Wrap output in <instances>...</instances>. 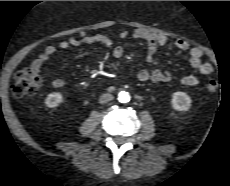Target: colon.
<instances>
[{
    "label": "colon",
    "mask_w": 230,
    "mask_h": 186,
    "mask_svg": "<svg viewBox=\"0 0 230 186\" xmlns=\"http://www.w3.org/2000/svg\"><path fill=\"white\" fill-rule=\"evenodd\" d=\"M44 79L39 73H34L30 69H23L16 73L12 85V93L15 97L21 98L35 93L43 85ZM218 83L210 79L206 83V90L213 93L217 90Z\"/></svg>",
    "instance_id": "obj_1"
}]
</instances>
